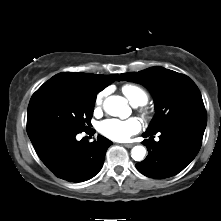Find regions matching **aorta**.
<instances>
[{"label":"aorta","mask_w":221,"mask_h":221,"mask_svg":"<svg viewBox=\"0 0 221 221\" xmlns=\"http://www.w3.org/2000/svg\"><path fill=\"white\" fill-rule=\"evenodd\" d=\"M126 100L121 96H110L104 101V110L112 115L119 116L122 110L125 108ZM146 149L143 146H135L131 150V156L135 161H141L144 159Z\"/></svg>","instance_id":"762f6f07"}]
</instances>
